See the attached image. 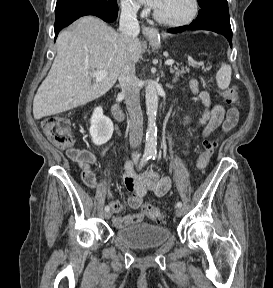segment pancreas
Here are the masks:
<instances>
[{
    "label": "pancreas",
    "mask_w": 273,
    "mask_h": 288,
    "mask_svg": "<svg viewBox=\"0 0 273 288\" xmlns=\"http://www.w3.org/2000/svg\"><path fill=\"white\" fill-rule=\"evenodd\" d=\"M188 71H189V69H187V68L179 69L176 66L170 67V72L175 75L174 81H177L179 76H182L183 73H186Z\"/></svg>",
    "instance_id": "obj_1"
}]
</instances>
